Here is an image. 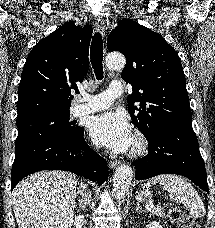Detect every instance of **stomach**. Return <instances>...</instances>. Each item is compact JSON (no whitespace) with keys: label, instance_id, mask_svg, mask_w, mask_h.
<instances>
[{"label":"stomach","instance_id":"1","mask_svg":"<svg viewBox=\"0 0 215 228\" xmlns=\"http://www.w3.org/2000/svg\"><path fill=\"white\" fill-rule=\"evenodd\" d=\"M149 190L148 188H142L141 194H148Z\"/></svg>","mask_w":215,"mask_h":228}]
</instances>
